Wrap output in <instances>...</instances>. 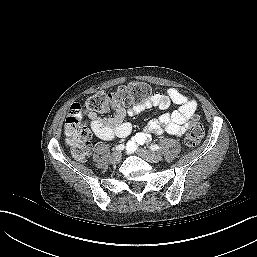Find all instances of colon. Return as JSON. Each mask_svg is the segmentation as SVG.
Returning a JSON list of instances; mask_svg holds the SVG:
<instances>
[{
	"instance_id": "1",
	"label": "colon",
	"mask_w": 257,
	"mask_h": 257,
	"mask_svg": "<svg viewBox=\"0 0 257 257\" xmlns=\"http://www.w3.org/2000/svg\"><path fill=\"white\" fill-rule=\"evenodd\" d=\"M150 96V87L142 82H134L121 86L116 91H100L90 96L85 103L88 110L98 113L109 112L114 107H124L141 103ZM65 134L72 155L83 160L89 153L91 133L83 122L81 105L74 103L70 106L65 119ZM204 134V128L197 116L193 117L186 133L184 142L187 148L196 147Z\"/></svg>"
}]
</instances>
